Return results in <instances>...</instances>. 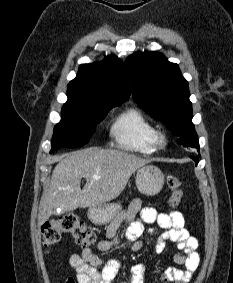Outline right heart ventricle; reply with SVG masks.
I'll return each instance as SVG.
<instances>
[{"label": "right heart ventricle", "mask_w": 233, "mask_h": 283, "mask_svg": "<svg viewBox=\"0 0 233 283\" xmlns=\"http://www.w3.org/2000/svg\"><path fill=\"white\" fill-rule=\"evenodd\" d=\"M156 132L154 124L137 108L123 111L111 126V135L120 148L143 155L156 151Z\"/></svg>", "instance_id": "e07e8e85"}]
</instances>
